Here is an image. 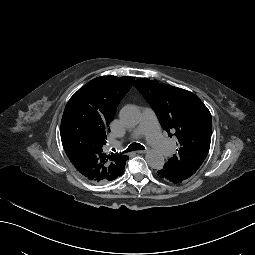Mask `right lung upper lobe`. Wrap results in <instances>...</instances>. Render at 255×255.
Wrapping results in <instances>:
<instances>
[{"label":"right lung upper lobe","instance_id":"1","mask_svg":"<svg viewBox=\"0 0 255 255\" xmlns=\"http://www.w3.org/2000/svg\"><path fill=\"white\" fill-rule=\"evenodd\" d=\"M133 77L101 76L80 88L68 101L62 121L61 140L74 167L87 180L104 184L124 172L128 156L106 153V140L117 106Z\"/></svg>","mask_w":255,"mask_h":255}]
</instances>
